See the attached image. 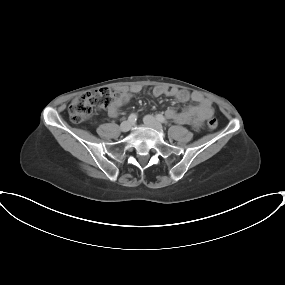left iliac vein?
<instances>
[{"label":"left iliac vein","instance_id":"4c4485c4","mask_svg":"<svg viewBox=\"0 0 285 285\" xmlns=\"http://www.w3.org/2000/svg\"><path fill=\"white\" fill-rule=\"evenodd\" d=\"M143 122L146 126L154 128L156 130H161L162 129V125L160 124V122H158L153 116L151 115H146L143 118Z\"/></svg>","mask_w":285,"mask_h":285}]
</instances>
